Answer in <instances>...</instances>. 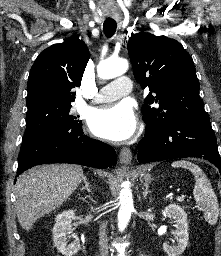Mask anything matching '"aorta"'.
Returning <instances> with one entry per match:
<instances>
[{"label": "aorta", "instance_id": "1", "mask_svg": "<svg viewBox=\"0 0 221 256\" xmlns=\"http://www.w3.org/2000/svg\"><path fill=\"white\" fill-rule=\"evenodd\" d=\"M128 69V61L125 59H106L99 63L97 72L101 79H112L123 75ZM118 228L123 231L131 218L134 209L132 192L126 182L122 184L119 193Z\"/></svg>", "mask_w": 221, "mask_h": 256}]
</instances>
